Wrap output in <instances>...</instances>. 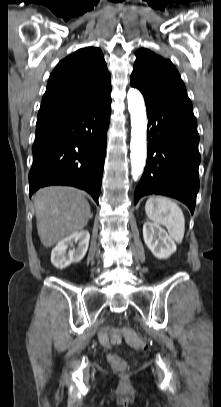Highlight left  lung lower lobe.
Listing matches in <instances>:
<instances>
[{
  "instance_id": "0a47b994",
  "label": "left lung lower lobe",
  "mask_w": 221,
  "mask_h": 407,
  "mask_svg": "<svg viewBox=\"0 0 221 407\" xmlns=\"http://www.w3.org/2000/svg\"><path fill=\"white\" fill-rule=\"evenodd\" d=\"M148 154L135 190V204L144 195L160 194L186 204L193 214L199 190V134L191 101L185 96L145 98Z\"/></svg>"
}]
</instances>
